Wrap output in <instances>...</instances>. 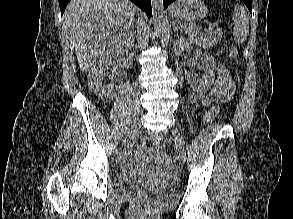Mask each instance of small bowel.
I'll list each match as a JSON object with an SVG mask.
<instances>
[{"instance_id": "small-bowel-1", "label": "small bowel", "mask_w": 293, "mask_h": 219, "mask_svg": "<svg viewBox=\"0 0 293 219\" xmlns=\"http://www.w3.org/2000/svg\"><path fill=\"white\" fill-rule=\"evenodd\" d=\"M234 91L235 83L230 71L225 66L220 65L211 91L208 94L194 93L190 96V101L193 104H197L200 101L205 106L211 103L223 104L232 98Z\"/></svg>"}]
</instances>
